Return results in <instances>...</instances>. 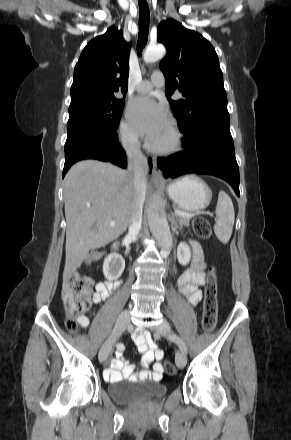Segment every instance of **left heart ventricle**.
<instances>
[{
	"label": "left heart ventricle",
	"mask_w": 291,
	"mask_h": 440,
	"mask_svg": "<svg viewBox=\"0 0 291 440\" xmlns=\"http://www.w3.org/2000/svg\"><path fill=\"white\" fill-rule=\"evenodd\" d=\"M171 140L169 127L152 143L156 145H166Z\"/></svg>",
	"instance_id": "obj_1"
}]
</instances>
